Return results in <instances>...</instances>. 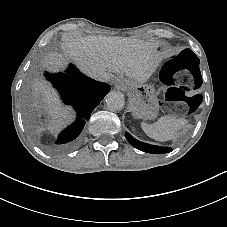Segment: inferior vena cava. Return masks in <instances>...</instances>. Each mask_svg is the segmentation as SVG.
Listing matches in <instances>:
<instances>
[{
  "instance_id": "1",
  "label": "inferior vena cava",
  "mask_w": 227,
  "mask_h": 227,
  "mask_svg": "<svg viewBox=\"0 0 227 227\" xmlns=\"http://www.w3.org/2000/svg\"><path fill=\"white\" fill-rule=\"evenodd\" d=\"M97 80L102 82H107V81H110V76L108 74H104L101 78H98Z\"/></svg>"
}]
</instances>
